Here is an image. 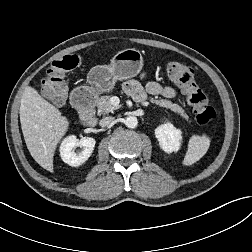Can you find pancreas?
<instances>
[{
  "label": "pancreas",
  "instance_id": "cf45deb5",
  "mask_svg": "<svg viewBox=\"0 0 252 252\" xmlns=\"http://www.w3.org/2000/svg\"><path fill=\"white\" fill-rule=\"evenodd\" d=\"M111 96H101L97 98L96 106L98 108V114H108L114 112V110L118 109V106H114L110 102ZM150 101L156 105H159L160 107H164L167 109H170L171 111L179 114L182 118H184L186 121H188L189 117L185 113V111L182 109L181 106L178 104H175L171 102L170 100L166 99H154L151 98Z\"/></svg>",
  "mask_w": 252,
  "mask_h": 252
}]
</instances>
